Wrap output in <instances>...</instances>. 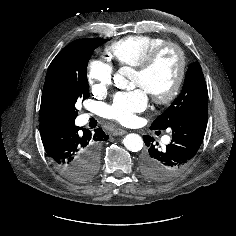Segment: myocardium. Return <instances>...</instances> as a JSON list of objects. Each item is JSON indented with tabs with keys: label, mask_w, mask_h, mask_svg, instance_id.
<instances>
[{
	"label": "myocardium",
	"mask_w": 236,
	"mask_h": 236,
	"mask_svg": "<svg viewBox=\"0 0 236 236\" xmlns=\"http://www.w3.org/2000/svg\"><path fill=\"white\" fill-rule=\"evenodd\" d=\"M167 50H174L177 53L178 59H179V66H178L175 80L173 82L172 87L169 89V91H167L165 94H162V95L151 94L153 101L159 105H166L172 102L176 98V96L178 95L182 87V84L184 82L185 75H186V68H187V60H186L185 52L178 44L167 42L153 49L145 57V59L138 66H136L137 71L139 73L141 74L148 73L154 67L159 57Z\"/></svg>",
	"instance_id": "1"
}]
</instances>
